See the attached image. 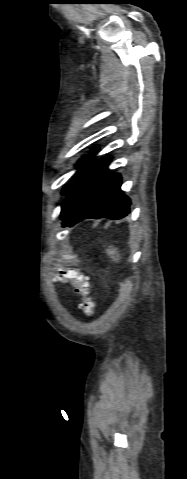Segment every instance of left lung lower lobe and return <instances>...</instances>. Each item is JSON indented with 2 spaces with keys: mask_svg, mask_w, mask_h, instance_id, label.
<instances>
[{
  "mask_svg": "<svg viewBox=\"0 0 187 479\" xmlns=\"http://www.w3.org/2000/svg\"><path fill=\"white\" fill-rule=\"evenodd\" d=\"M109 161L89 165L71 185L62 203L64 226L87 218L121 219L130 213V199L120 188V175L107 169Z\"/></svg>",
  "mask_w": 187,
  "mask_h": 479,
  "instance_id": "1",
  "label": "left lung lower lobe"
}]
</instances>
